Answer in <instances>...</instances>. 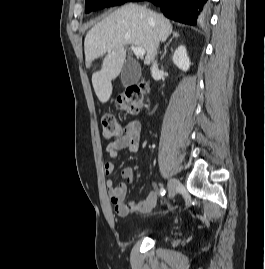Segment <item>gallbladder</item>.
I'll use <instances>...</instances> for the list:
<instances>
[{"label": "gallbladder", "mask_w": 265, "mask_h": 269, "mask_svg": "<svg viewBox=\"0 0 265 269\" xmlns=\"http://www.w3.org/2000/svg\"><path fill=\"white\" fill-rule=\"evenodd\" d=\"M140 77V68L133 60L125 61L121 72V83L124 87L133 85Z\"/></svg>", "instance_id": "1"}]
</instances>
